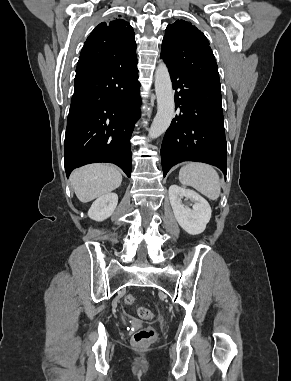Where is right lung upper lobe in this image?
<instances>
[{"mask_svg": "<svg viewBox=\"0 0 291 381\" xmlns=\"http://www.w3.org/2000/svg\"><path fill=\"white\" fill-rule=\"evenodd\" d=\"M134 36L124 19L100 23L87 38L77 66H112L129 60L136 56Z\"/></svg>", "mask_w": 291, "mask_h": 381, "instance_id": "obj_1", "label": "right lung upper lobe"}]
</instances>
